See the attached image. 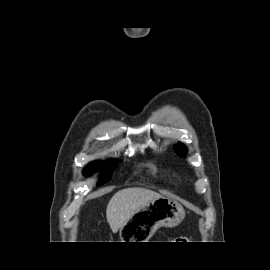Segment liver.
<instances>
[{
  "label": "liver",
  "mask_w": 270,
  "mask_h": 270,
  "mask_svg": "<svg viewBox=\"0 0 270 270\" xmlns=\"http://www.w3.org/2000/svg\"><path fill=\"white\" fill-rule=\"evenodd\" d=\"M162 197L159 193L144 188H127L116 192L110 199L106 218L113 233L122 228L147 202Z\"/></svg>",
  "instance_id": "liver-1"
}]
</instances>
